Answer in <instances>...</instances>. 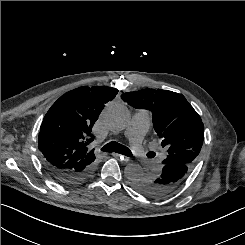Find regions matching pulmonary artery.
<instances>
[{
	"label": "pulmonary artery",
	"mask_w": 245,
	"mask_h": 245,
	"mask_svg": "<svg viewBox=\"0 0 245 245\" xmlns=\"http://www.w3.org/2000/svg\"><path fill=\"white\" fill-rule=\"evenodd\" d=\"M151 115L147 110L137 111L128 125L126 136L135 154L141 158L145 154L142 138L150 126Z\"/></svg>",
	"instance_id": "pulmonary-artery-1"
}]
</instances>
